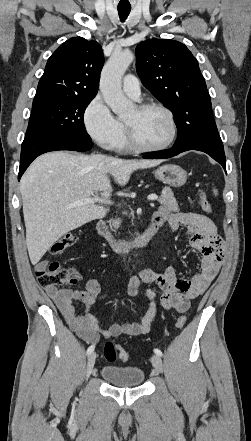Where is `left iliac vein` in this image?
<instances>
[{
  "label": "left iliac vein",
  "instance_id": "left-iliac-vein-1",
  "mask_svg": "<svg viewBox=\"0 0 251 441\" xmlns=\"http://www.w3.org/2000/svg\"><path fill=\"white\" fill-rule=\"evenodd\" d=\"M151 362H152V365L154 366V368L159 373L163 372V362H162V359H161V357L159 355H153L151 357Z\"/></svg>",
  "mask_w": 251,
  "mask_h": 441
}]
</instances>
